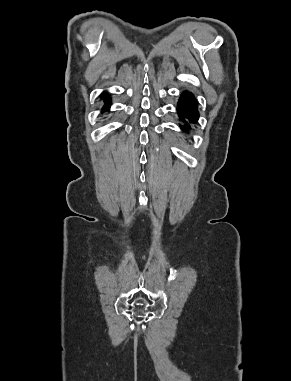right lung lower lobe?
<instances>
[{
    "mask_svg": "<svg viewBox=\"0 0 291 381\" xmlns=\"http://www.w3.org/2000/svg\"><path fill=\"white\" fill-rule=\"evenodd\" d=\"M103 98H104L105 104H104V107L102 108V111H106L109 109L111 103H110L109 97L106 94H103Z\"/></svg>",
    "mask_w": 291,
    "mask_h": 381,
    "instance_id": "obj_1",
    "label": "right lung lower lobe"
}]
</instances>
